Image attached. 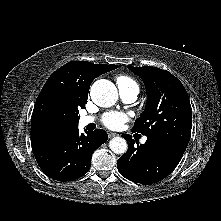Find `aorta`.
Wrapping results in <instances>:
<instances>
[{
	"mask_svg": "<svg viewBox=\"0 0 221 221\" xmlns=\"http://www.w3.org/2000/svg\"><path fill=\"white\" fill-rule=\"evenodd\" d=\"M90 96L96 105L111 107L118 99V91L111 81L100 79L91 86ZM109 147L116 154H124L127 150V142L121 137H114L110 140Z\"/></svg>",
	"mask_w": 221,
	"mask_h": 221,
	"instance_id": "762f6f07",
	"label": "aorta"
}]
</instances>
